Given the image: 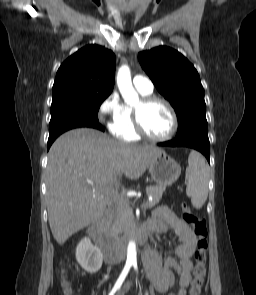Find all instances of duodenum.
<instances>
[{
    "label": "duodenum",
    "mask_w": 256,
    "mask_h": 295,
    "mask_svg": "<svg viewBox=\"0 0 256 295\" xmlns=\"http://www.w3.org/2000/svg\"><path fill=\"white\" fill-rule=\"evenodd\" d=\"M107 217L101 216L89 228L88 234L94 243L101 249L106 263H115L126 255V247L124 245L117 246L106 237L105 228ZM148 227L137 225L133 231L131 238L137 243H144L148 239Z\"/></svg>",
    "instance_id": "duodenum-1"
}]
</instances>
